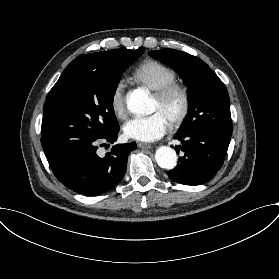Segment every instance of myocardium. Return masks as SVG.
Wrapping results in <instances>:
<instances>
[{
  "instance_id": "myocardium-1",
  "label": "myocardium",
  "mask_w": 279,
  "mask_h": 279,
  "mask_svg": "<svg viewBox=\"0 0 279 279\" xmlns=\"http://www.w3.org/2000/svg\"><path fill=\"white\" fill-rule=\"evenodd\" d=\"M155 97L160 102H166L173 98L179 100V111L169 122L172 127H179L185 121L190 112L191 101L188 88L181 83L173 82L156 91Z\"/></svg>"
}]
</instances>
